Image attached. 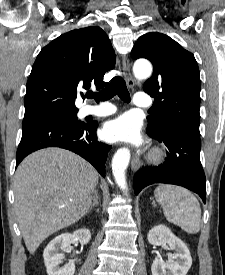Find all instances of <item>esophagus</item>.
Segmentation results:
<instances>
[{
	"label": "esophagus",
	"mask_w": 225,
	"mask_h": 275,
	"mask_svg": "<svg viewBox=\"0 0 225 275\" xmlns=\"http://www.w3.org/2000/svg\"><path fill=\"white\" fill-rule=\"evenodd\" d=\"M122 70H123V74H124V77L126 79L127 85L130 88H133L135 82H134L133 76L131 74V65H130V62H129V59H128L127 56L123 57ZM140 166H141L140 159L138 157L134 156L132 161H131L132 170L137 171L140 168Z\"/></svg>",
	"instance_id": "1"
}]
</instances>
